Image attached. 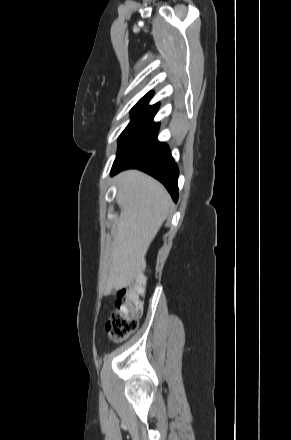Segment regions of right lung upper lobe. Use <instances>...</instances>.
Returning a JSON list of instances; mask_svg holds the SVG:
<instances>
[{
	"instance_id": "1",
	"label": "right lung upper lobe",
	"mask_w": 291,
	"mask_h": 440,
	"mask_svg": "<svg viewBox=\"0 0 291 440\" xmlns=\"http://www.w3.org/2000/svg\"><path fill=\"white\" fill-rule=\"evenodd\" d=\"M153 96V92L147 93L143 98L140 99V101H149Z\"/></svg>"
}]
</instances>
